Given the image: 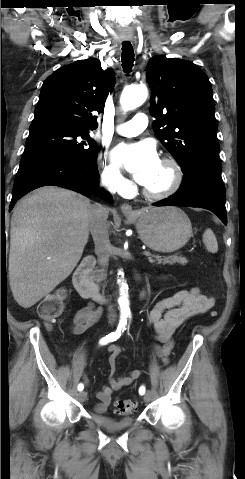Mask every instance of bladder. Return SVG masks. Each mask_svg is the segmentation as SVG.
Here are the masks:
<instances>
[{"instance_id":"obj_1","label":"bladder","mask_w":245,"mask_h":479,"mask_svg":"<svg viewBox=\"0 0 245 479\" xmlns=\"http://www.w3.org/2000/svg\"><path fill=\"white\" fill-rule=\"evenodd\" d=\"M90 417L95 424L110 432L126 429L134 422L131 416L117 419L107 415L92 414Z\"/></svg>"}]
</instances>
